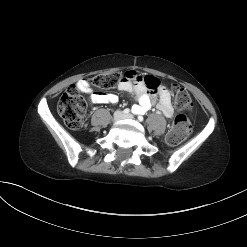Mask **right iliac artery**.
I'll list each match as a JSON object with an SVG mask.
<instances>
[{
	"label": "right iliac artery",
	"mask_w": 247,
	"mask_h": 247,
	"mask_svg": "<svg viewBox=\"0 0 247 247\" xmlns=\"http://www.w3.org/2000/svg\"><path fill=\"white\" fill-rule=\"evenodd\" d=\"M129 112H130V109L129 108H126V109L123 110V113L124 114H129Z\"/></svg>",
	"instance_id": "right-iliac-artery-1"
}]
</instances>
